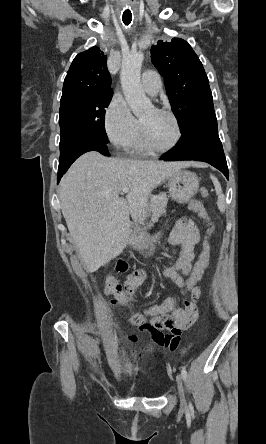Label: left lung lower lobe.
Here are the masks:
<instances>
[{
    "mask_svg": "<svg viewBox=\"0 0 266 444\" xmlns=\"http://www.w3.org/2000/svg\"><path fill=\"white\" fill-rule=\"evenodd\" d=\"M160 160H197L211 164L228 179V167L222 143L219 139L215 112L193 121L183 130L176 147Z\"/></svg>",
    "mask_w": 266,
    "mask_h": 444,
    "instance_id": "left-lung-lower-lobe-1",
    "label": "left lung lower lobe"
}]
</instances>
